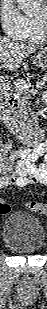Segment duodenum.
Here are the masks:
<instances>
[{
    "mask_svg": "<svg viewBox=\"0 0 47 309\" xmlns=\"http://www.w3.org/2000/svg\"><path fill=\"white\" fill-rule=\"evenodd\" d=\"M17 104L9 100L4 101L1 109V118L9 131L27 147H35L42 141L43 131L39 122L35 127H28L19 124L14 117Z\"/></svg>",
    "mask_w": 47,
    "mask_h": 309,
    "instance_id": "duodenum-1",
    "label": "duodenum"
}]
</instances>
